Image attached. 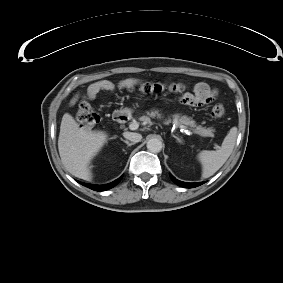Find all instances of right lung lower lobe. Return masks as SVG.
<instances>
[{"mask_svg":"<svg viewBox=\"0 0 283 283\" xmlns=\"http://www.w3.org/2000/svg\"><path fill=\"white\" fill-rule=\"evenodd\" d=\"M122 179V177L118 178L117 180L109 183V184H105V185H92V184H86L83 183L85 186H87L90 189L96 190V191H105L107 189L112 188L113 186H115L120 180Z\"/></svg>","mask_w":283,"mask_h":283,"instance_id":"1","label":"right lung lower lobe"}]
</instances>
